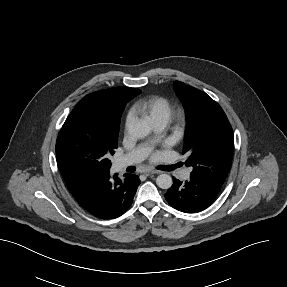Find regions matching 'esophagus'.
<instances>
[{
  "label": "esophagus",
  "mask_w": 287,
  "mask_h": 287,
  "mask_svg": "<svg viewBox=\"0 0 287 287\" xmlns=\"http://www.w3.org/2000/svg\"><path fill=\"white\" fill-rule=\"evenodd\" d=\"M161 172L158 171V170H145L144 171V174L149 176V175H152V174H160Z\"/></svg>",
  "instance_id": "34e87169"
}]
</instances>
